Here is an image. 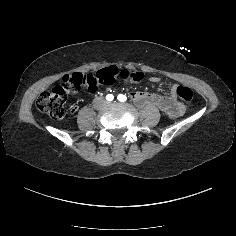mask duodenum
Wrapping results in <instances>:
<instances>
[{
	"instance_id": "1",
	"label": "duodenum",
	"mask_w": 236,
	"mask_h": 236,
	"mask_svg": "<svg viewBox=\"0 0 236 236\" xmlns=\"http://www.w3.org/2000/svg\"><path fill=\"white\" fill-rule=\"evenodd\" d=\"M134 101L140 106L155 103L170 116H175L183 111V105L173 98L160 97L148 93H138L134 96Z\"/></svg>"
}]
</instances>
